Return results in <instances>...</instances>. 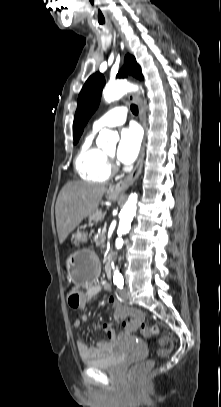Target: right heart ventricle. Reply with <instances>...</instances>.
<instances>
[{"label": "right heart ventricle", "mask_w": 221, "mask_h": 407, "mask_svg": "<svg viewBox=\"0 0 221 407\" xmlns=\"http://www.w3.org/2000/svg\"><path fill=\"white\" fill-rule=\"evenodd\" d=\"M94 134L90 133L83 141L75 159V168L83 180L104 183L110 177V166L106 154L94 144Z\"/></svg>", "instance_id": "right-heart-ventricle-1"}]
</instances>
